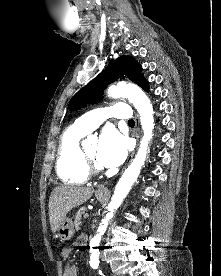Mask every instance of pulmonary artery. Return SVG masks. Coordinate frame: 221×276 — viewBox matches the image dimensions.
<instances>
[{
  "mask_svg": "<svg viewBox=\"0 0 221 276\" xmlns=\"http://www.w3.org/2000/svg\"><path fill=\"white\" fill-rule=\"evenodd\" d=\"M132 116L131 108L124 103L92 110L75 121L74 127L84 133H90L96 129L107 118H117L130 120Z\"/></svg>",
  "mask_w": 221,
  "mask_h": 276,
  "instance_id": "pulmonary-artery-1",
  "label": "pulmonary artery"
}]
</instances>
